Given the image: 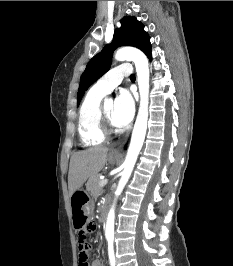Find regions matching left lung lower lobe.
<instances>
[{
    "mask_svg": "<svg viewBox=\"0 0 233 266\" xmlns=\"http://www.w3.org/2000/svg\"><path fill=\"white\" fill-rule=\"evenodd\" d=\"M147 56H148V58L151 60V58H152V56H151V49L148 51V52H146L145 53Z\"/></svg>",
    "mask_w": 233,
    "mask_h": 266,
    "instance_id": "0a47b994",
    "label": "left lung lower lobe"
}]
</instances>
